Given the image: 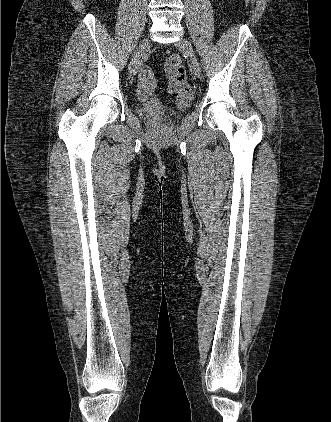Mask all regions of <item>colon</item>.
Wrapping results in <instances>:
<instances>
[{
  "label": "colon",
  "instance_id": "1",
  "mask_svg": "<svg viewBox=\"0 0 331 422\" xmlns=\"http://www.w3.org/2000/svg\"><path fill=\"white\" fill-rule=\"evenodd\" d=\"M165 72L170 80L169 92L176 96L179 107L187 106L192 99V92L186 81L185 67L177 55H170L165 62ZM143 77H151V69L144 66L141 70Z\"/></svg>",
  "mask_w": 331,
  "mask_h": 422
}]
</instances>
